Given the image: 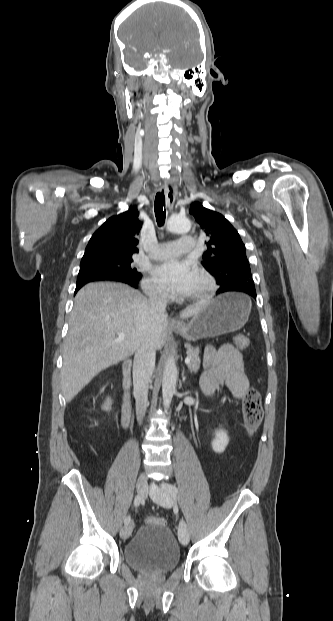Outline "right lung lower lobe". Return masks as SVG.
<instances>
[{"label": "right lung lower lobe", "instance_id": "right-lung-lower-lobe-1", "mask_svg": "<svg viewBox=\"0 0 333 621\" xmlns=\"http://www.w3.org/2000/svg\"><path fill=\"white\" fill-rule=\"evenodd\" d=\"M103 280H109V281H118V282H122L125 284H128L134 288L138 287V282L139 281H131V280H126L123 278H115V277H104V276H82V277H78L77 278V284H76V289H75V293L86 283L89 282H93V281H103Z\"/></svg>", "mask_w": 333, "mask_h": 621}]
</instances>
